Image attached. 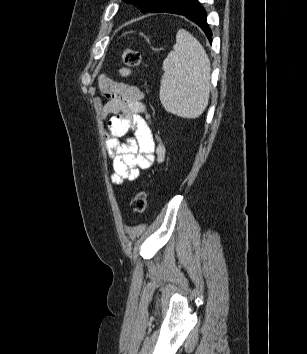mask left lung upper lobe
<instances>
[{"instance_id": "obj_1", "label": "left lung upper lobe", "mask_w": 307, "mask_h": 354, "mask_svg": "<svg viewBox=\"0 0 307 354\" xmlns=\"http://www.w3.org/2000/svg\"><path fill=\"white\" fill-rule=\"evenodd\" d=\"M136 5L142 12L155 13L166 5L169 0H123Z\"/></svg>"}]
</instances>
